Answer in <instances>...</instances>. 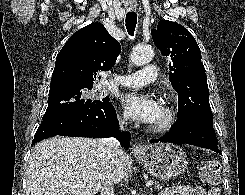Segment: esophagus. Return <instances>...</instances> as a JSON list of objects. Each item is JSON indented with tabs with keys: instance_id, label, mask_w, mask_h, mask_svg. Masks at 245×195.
<instances>
[{
	"instance_id": "34e87169",
	"label": "esophagus",
	"mask_w": 245,
	"mask_h": 195,
	"mask_svg": "<svg viewBox=\"0 0 245 195\" xmlns=\"http://www.w3.org/2000/svg\"><path fill=\"white\" fill-rule=\"evenodd\" d=\"M141 151H142V147L139 144L135 143L132 147V153L136 155L141 153Z\"/></svg>"
}]
</instances>
